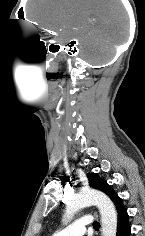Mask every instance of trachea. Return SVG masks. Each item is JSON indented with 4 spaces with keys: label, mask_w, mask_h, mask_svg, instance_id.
<instances>
[{
    "label": "trachea",
    "mask_w": 145,
    "mask_h": 236,
    "mask_svg": "<svg viewBox=\"0 0 145 236\" xmlns=\"http://www.w3.org/2000/svg\"><path fill=\"white\" fill-rule=\"evenodd\" d=\"M93 227H94V228H99V227H100L99 222L94 221V222H93Z\"/></svg>",
    "instance_id": "trachea-1"
}]
</instances>
